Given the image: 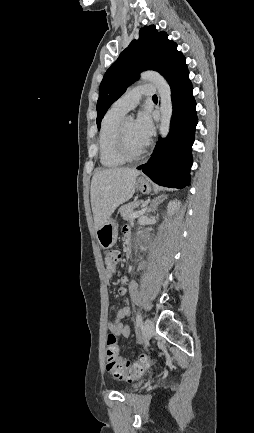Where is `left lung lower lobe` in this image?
I'll list each match as a JSON object with an SVG mask.
<instances>
[{"label": "left lung lower lobe", "instance_id": "obj_1", "mask_svg": "<svg viewBox=\"0 0 254 433\" xmlns=\"http://www.w3.org/2000/svg\"><path fill=\"white\" fill-rule=\"evenodd\" d=\"M173 113L168 137L159 139L151 158L137 169L159 185L182 189L189 185L197 115L189 71L182 55L168 70Z\"/></svg>", "mask_w": 254, "mask_h": 433}]
</instances>
